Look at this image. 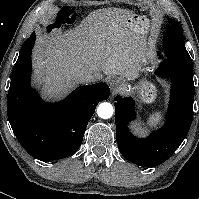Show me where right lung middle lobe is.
Listing matches in <instances>:
<instances>
[{
	"mask_svg": "<svg viewBox=\"0 0 199 199\" xmlns=\"http://www.w3.org/2000/svg\"><path fill=\"white\" fill-rule=\"evenodd\" d=\"M34 43H35V33H32V35L24 42L18 60L21 59L27 51L33 48Z\"/></svg>",
	"mask_w": 199,
	"mask_h": 199,
	"instance_id": "dd1d6c3e",
	"label": "right lung middle lobe"
}]
</instances>
